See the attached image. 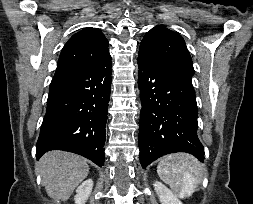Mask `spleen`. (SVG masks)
Segmentation results:
<instances>
[{"instance_id":"spleen-1","label":"spleen","mask_w":253,"mask_h":204,"mask_svg":"<svg viewBox=\"0 0 253 204\" xmlns=\"http://www.w3.org/2000/svg\"><path fill=\"white\" fill-rule=\"evenodd\" d=\"M157 173L180 197H190L204 177L200 162L188 153L163 157L158 163Z\"/></svg>"}]
</instances>
